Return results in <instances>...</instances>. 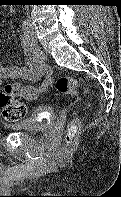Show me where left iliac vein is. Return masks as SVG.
<instances>
[{
	"mask_svg": "<svg viewBox=\"0 0 121 197\" xmlns=\"http://www.w3.org/2000/svg\"><path fill=\"white\" fill-rule=\"evenodd\" d=\"M32 34L34 35V31H33V29H32ZM34 41L36 42V39H34Z\"/></svg>",
	"mask_w": 121,
	"mask_h": 197,
	"instance_id": "1",
	"label": "left iliac vein"
}]
</instances>
